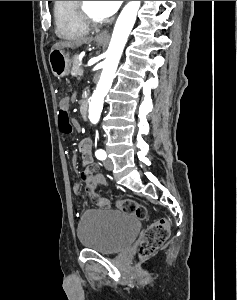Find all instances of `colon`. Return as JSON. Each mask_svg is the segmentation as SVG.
Instances as JSON below:
<instances>
[{
  "label": "colon",
  "mask_w": 237,
  "mask_h": 300,
  "mask_svg": "<svg viewBox=\"0 0 237 300\" xmlns=\"http://www.w3.org/2000/svg\"><path fill=\"white\" fill-rule=\"evenodd\" d=\"M59 130L64 134H71L73 132V125L70 121L67 108L60 107L58 114ZM87 188L94 191L99 185L105 183L104 177L93 174L91 171L84 174ZM117 207L124 213L135 216L143 220L147 217L146 208L130 199H120L117 202ZM169 222L166 219H159L153 222L144 232L143 238L139 244V256L147 258L153 255L169 237Z\"/></svg>",
  "instance_id": "colon-1"
}]
</instances>
